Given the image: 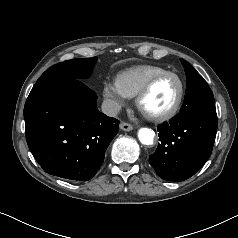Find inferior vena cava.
Here are the masks:
<instances>
[{
	"label": "inferior vena cava",
	"mask_w": 238,
	"mask_h": 238,
	"mask_svg": "<svg viewBox=\"0 0 238 238\" xmlns=\"http://www.w3.org/2000/svg\"><path fill=\"white\" fill-rule=\"evenodd\" d=\"M101 108L104 114L111 117L116 116L121 110V106L117 102L111 99L104 100Z\"/></svg>",
	"instance_id": "602c4592"
}]
</instances>
